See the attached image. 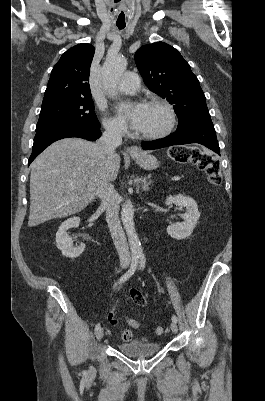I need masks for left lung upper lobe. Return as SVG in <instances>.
Listing matches in <instances>:
<instances>
[{
	"label": "left lung upper lobe",
	"instance_id": "5c2ea615",
	"mask_svg": "<svg viewBox=\"0 0 265 401\" xmlns=\"http://www.w3.org/2000/svg\"><path fill=\"white\" fill-rule=\"evenodd\" d=\"M135 62L149 90L173 104L178 127L210 118L199 81L175 48L163 42L144 45L135 53Z\"/></svg>",
	"mask_w": 265,
	"mask_h": 401
}]
</instances>
